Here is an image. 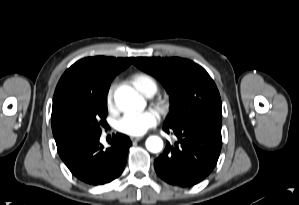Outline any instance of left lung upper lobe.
<instances>
[{
	"instance_id": "5c2ea615",
	"label": "left lung upper lobe",
	"mask_w": 299,
	"mask_h": 205,
	"mask_svg": "<svg viewBox=\"0 0 299 205\" xmlns=\"http://www.w3.org/2000/svg\"><path fill=\"white\" fill-rule=\"evenodd\" d=\"M133 63L156 77L169 93L172 112L166 125L177 126L222 118L218 89L200 65L178 57H137Z\"/></svg>"
}]
</instances>
